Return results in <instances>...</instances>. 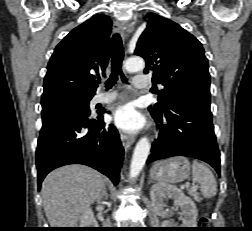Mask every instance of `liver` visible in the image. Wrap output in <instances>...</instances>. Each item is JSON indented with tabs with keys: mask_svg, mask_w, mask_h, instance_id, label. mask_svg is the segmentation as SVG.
I'll return each instance as SVG.
<instances>
[{
	"mask_svg": "<svg viewBox=\"0 0 252 231\" xmlns=\"http://www.w3.org/2000/svg\"><path fill=\"white\" fill-rule=\"evenodd\" d=\"M104 188L102 175L82 165L49 173L42 183L43 207L51 228H74Z\"/></svg>",
	"mask_w": 252,
	"mask_h": 231,
	"instance_id": "obj_1",
	"label": "liver"
}]
</instances>
